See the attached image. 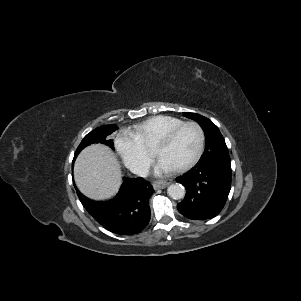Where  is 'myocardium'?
Wrapping results in <instances>:
<instances>
[{
  "mask_svg": "<svg viewBox=\"0 0 301 301\" xmlns=\"http://www.w3.org/2000/svg\"><path fill=\"white\" fill-rule=\"evenodd\" d=\"M187 126H193L197 130L198 136H199L198 147H197L195 154L189 161H187L186 163L182 164L179 167H176L177 171H183V170H186V169L192 167L200 159V157L203 153L204 144H205V134H204V131H203L202 127L200 126V124H198L197 122H194V121L183 122V123L173 127L172 129L168 130L167 132L163 133L155 140V144L168 143L171 140H173L175 138V136L184 127H187Z\"/></svg>",
  "mask_w": 301,
  "mask_h": 301,
  "instance_id": "f54148a6",
  "label": "myocardium"
}]
</instances>
